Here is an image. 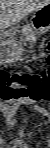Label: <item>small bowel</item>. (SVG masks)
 Returning <instances> with one entry per match:
<instances>
[{
  "mask_svg": "<svg viewBox=\"0 0 50 148\" xmlns=\"http://www.w3.org/2000/svg\"><path fill=\"white\" fill-rule=\"evenodd\" d=\"M21 107H22L21 103H17L15 105H4L3 106V113H4V116L6 118V121H7L8 125L15 126L14 117H15L16 113L18 112V110ZM31 108L34 111L41 114L42 116H47L48 115L45 110H43L42 108H40L38 106L33 105ZM19 135L21 137H25L24 131L20 129L19 130ZM10 147L28 148V145L26 143H24L21 139H19V140H16L15 142H13Z\"/></svg>",
  "mask_w": 50,
  "mask_h": 148,
  "instance_id": "c3829d8e",
  "label": "small bowel"
}]
</instances>
